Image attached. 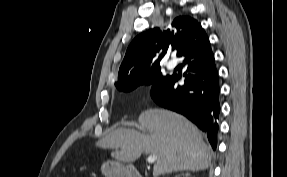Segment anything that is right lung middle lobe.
Wrapping results in <instances>:
<instances>
[{
    "mask_svg": "<svg viewBox=\"0 0 287 177\" xmlns=\"http://www.w3.org/2000/svg\"><path fill=\"white\" fill-rule=\"evenodd\" d=\"M168 76L169 75L163 76L161 71H160V67H158V68L154 69L153 71H151L150 73L146 74L144 77H142L136 81L116 85V88L119 91L128 92V91L135 89L139 85H143V84L149 85L151 83H153V85H155L159 81L160 82L164 81Z\"/></svg>",
    "mask_w": 287,
    "mask_h": 177,
    "instance_id": "1",
    "label": "right lung middle lobe"
}]
</instances>
